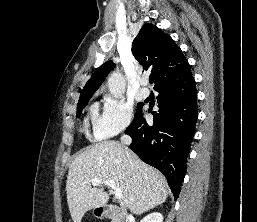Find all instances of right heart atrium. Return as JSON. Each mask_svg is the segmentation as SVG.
I'll use <instances>...</instances> for the list:
<instances>
[{
	"label": "right heart atrium",
	"instance_id": "1",
	"mask_svg": "<svg viewBox=\"0 0 257 222\" xmlns=\"http://www.w3.org/2000/svg\"><path fill=\"white\" fill-rule=\"evenodd\" d=\"M105 105L107 108L115 109L121 112L123 124L117 128H111L103 123L102 118H98L94 125V136L98 139L113 137L129 127L133 118V106L123 100L106 98Z\"/></svg>",
	"mask_w": 257,
	"mask_h": 222
}]
</instances>
